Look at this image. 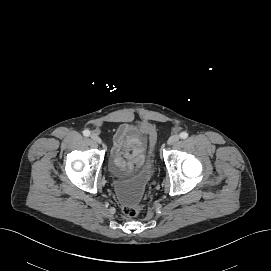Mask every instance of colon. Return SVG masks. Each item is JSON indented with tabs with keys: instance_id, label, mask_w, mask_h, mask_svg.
I'll list each match as a JSON object with an SVG mask.
<instances>
[{
	"instance_id": "colon-1",
	"label": "colon",
	"mask_w": 271,
	"mask_h": 271,
	"mask_svg": "<svg viewBox=\"0 0 271 271\" xmlns=\"http://www.w3.org/2000/svg\"><path fill=\"white\" fill-rule=\"evenodd\" d=\"M141 210L139 205H125L122 207V214L127 218H133L139 215Z\"/></svg>"
}]
</instances>
